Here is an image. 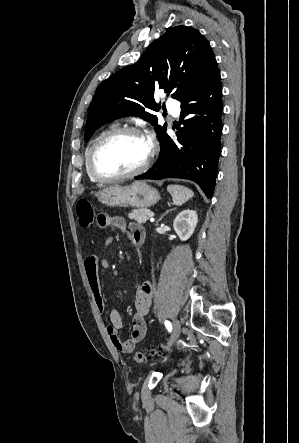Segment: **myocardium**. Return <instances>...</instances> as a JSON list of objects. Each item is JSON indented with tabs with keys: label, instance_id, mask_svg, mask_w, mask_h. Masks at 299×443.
<instances>
[{
	"label": "myocardium",
	"instance_id": "obj_1",
	"mask_svg": "<svg viewBox=\"0 0 299 443\" xmlns=\"http://www.w3.org/2000/svg\"><path fill=\"white\" fill-rule=\"evenodd\" d=\"M125 134H137L142 136L143 138H145L147 140L146 135L144 134V132L134 126H125V127H118V128H114L113 130L105 133L104 135H102L91 147L89 154H88V170L90 175L98 182H103V183H110V182H116V181H121V180H125L128 178H132L135 177L139 174H142L143 172H145L148 167L150 166L152 159L154 157V146L153 144H149V151L148 154L145 158V160L143 161V163L141 165H139L138 167H136L135 169L122 173V174H117V175H104L102 173H100L96 166H95V156L99 150V148L105 144L106 142L121 136V135H125Z\"/></svg>",
	"mask_w": 299,
	"mask_h": 443
}]
</instances>
